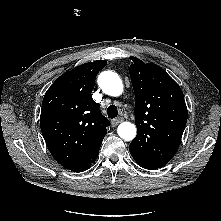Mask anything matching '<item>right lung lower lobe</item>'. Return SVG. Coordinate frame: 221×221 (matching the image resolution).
<instances>
[{
  "label": "right lung lower lobe",
  "instance_id": "obj_1",
  "mask_svg": "<svg viewBox=\"0 0 221 221\" xmlns=\"http://www.w3.org/2000/svg\"><path fill=\"white\" fill-rule=\"evenodd\" d=\"M100 146L97 149H95V151L90 153L80 163H78L74 167L70 168V170L74 171V172H82V171L87 170L91 166V164L96 160L98 153H99Z\"/></svg>",
  "mask_w": 221,
  "mask_h": 221
}]
</instances>
